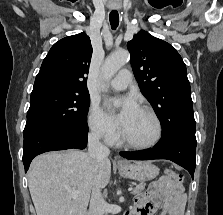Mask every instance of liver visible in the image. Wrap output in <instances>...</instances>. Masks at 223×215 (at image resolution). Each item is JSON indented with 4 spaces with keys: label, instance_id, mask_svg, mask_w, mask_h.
Listing matches in <instances>:
<instances>
[{
    "label": "liver",
    "instance_id": "6515ba94",
    "mask_svg": "<svg viewBox=\"0 0 223 215\" xmlns=\"http://www.w3.org/2000/svg\"><path fill=\"white\" fill-rule=\"evenodd\" d=\"M98 163V169L94 165ZM108 157L92 159L86 151H48L33 159L28 169V185L37 215H86L93 187L110 181ZM78 189L73 199L72 191Z\"/></svg>",
    "mask_w": 223,
    "mask_h": 215
}]
</instances>
